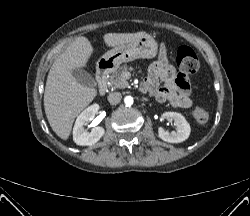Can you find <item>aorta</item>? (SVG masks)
I'll return each mask as SVG.
<instances>
[{
	"mask_svg": "<svg viewBox=\"0 0 250 216\" xmlns=\"http://www.w3.org/2000/svg\"><path fill=\"white\" fill-rule=\"evenodd\" d=\"M124 102L126 106H131L133 104V98L131 96H126Z\"/></svg>",
	"mask_w": 250,
	"mask_h": 216,
	"instance_id": "obj_1",
	"label": "aorta"
}]
</instances>
